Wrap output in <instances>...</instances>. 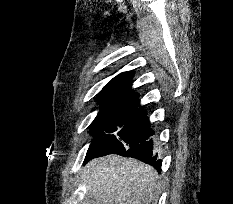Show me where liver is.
I'll use <instances>...</instances> for the list:
<instances>
[{
    "label": "liver",
    "mask_w": 233,
    "mask_h": 204,
    "mask_svg": "<svg viewBox=\"0 0 233 204\" xmlns=\"http://www.w3.org/2000/svg\"><path fill=\"white\" fill-rule=\"evenodd\" d=\"M84 173L82 184L96 204H151L160 187L153 167L119 155L93 159Z\"/></svg>",
    "instance_id": "1"
}]
</instances>
